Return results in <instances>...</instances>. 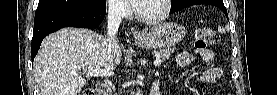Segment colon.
I'll list each match as a JSON object with an SVG mask.
<instances>
[{
  "mask_svg": "<svg viewBox=\"0 0 277 95\" xmlns=\"http://www.w3.org/2000/svg\"><path fill=\"white\" fill-rule=\"evenodd\" d=\"M195 46L197 49L205 50L211 46L217 45L220 41L219 35L210 27L203 26L195 29ZM92 89L83 90L80 95H94Z\"/></svg>",
  "mask_w": 277,
  "mask_h": 95,
  "instance_id": "obj_1",
  "label": "colon"
}]
</instances>
